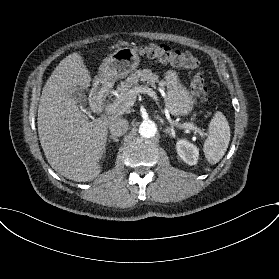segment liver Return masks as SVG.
Segmentation results:
<instances>
[{
    "label": "liver",
    "instance_id": "liver-1",
    "mask_svg": "<svg viewBox=\"0 0 279 279\" xmlns=\"http://www.w3.org/2000/svg\"><path fill=\"white\" fill-rule=\"evenodd\" d=\"M93 81L92 72L79 53L64 58L46 81L38 106L37 126L49 165L75 182L94 180L101 174L108 127L117 115L89 121L79 104ZM106 84L100 76L94 87Z\"/></svg>",
    "mask_w": 279,
    "mask_h": 279
}]
</instances>
